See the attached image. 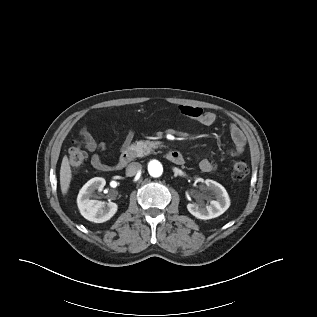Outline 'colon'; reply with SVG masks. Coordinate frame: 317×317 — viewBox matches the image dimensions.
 Returning a JSON list of instances; mask_svg holds the SVG:
<instances>
[{"label":"colon","instance_id":"colon-1","mask_svg":"<svg viewBox=\"0 0 317 317\" xmlns=\"http://www.w3.org/2000/svg\"><path fill=\"white\" fill-rule=\"evenodd\" d=\"M86 159V152L84 146L80 141H74L68 151L69 165L73 170L82 166ZM249 172V167L244 160L234 161L230 165V173L234 180H243Z\"/></svg>","mask_w":317,"mask_h":317}]
</instances>
